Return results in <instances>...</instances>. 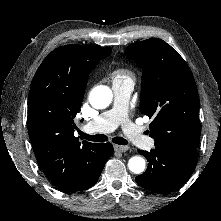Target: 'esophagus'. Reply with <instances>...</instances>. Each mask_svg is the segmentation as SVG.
<instances>
[{"instance_id":"esophagus-1","label":"esophagus","mask_w":221,"mask_h":221,"mask_svg":"<svg viewBox=\"0 0 221 221\" xmlns=\"http://www.w3.org/2000/svg\"><path fill=\"white\" fill-rule=\"evenodd\" d=\"M114 149H115V151L126 152L129 149V147L122 146V145H114Z\"/></svg>"}]
</instances>
